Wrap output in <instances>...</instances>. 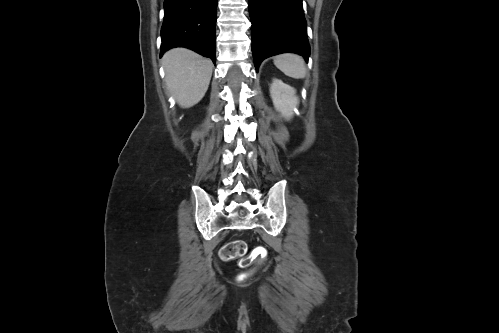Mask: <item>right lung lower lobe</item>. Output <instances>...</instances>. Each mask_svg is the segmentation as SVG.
I'll return each mask as SVG.
<instances>
[{
	"label": "right lung lower lobe",
	"instance_id": "98d812e1",
	"mask_svg": "<svg viewBox=\"0 0 499 333\" xmlns=\"http://www.w3.org/2000/svg\"><path fill=\"white\" fill-rule=\"evenodd\" d=\"M161 53L189 48L215 62L217 0H165Z\"/></svg>",
	"mask_w": 499,
	"mask_h": 333
}]
</instances>
